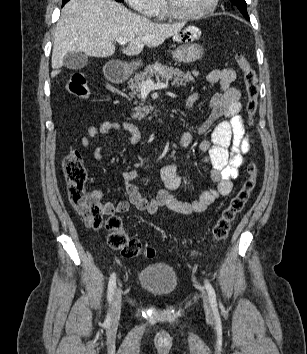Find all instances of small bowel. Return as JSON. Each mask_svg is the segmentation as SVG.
<instances>
[{
	"label": "small bowel",
	"mask_w": 307,
	"mask_h": 354,
	"mask_svg": "<svg viewBox=\"0 0 307 354\" xmlns=\"http://www.w3.org/2000/svg\"><path fill=\"white\" fill-rule=\"evenodd\" d=\"M207 80L211 85L218 86L219 91L211 97L210 112L199 129L200 134H205L213 128L211 137L199 143V150L203 154L204 163L209 167L210 178L215 186L203 191L193 201L179 198L174 191L182 188L183 180L177 173L176 163L172 162L164 166L160 172L166 189L160 190L154 199H145L136 184L138 171L128 170L122 175L128 201L117 204L105 203L108 213H124L128 211L130 205H133L149 214H154L164 206L176 213L191 215L206 211L220 197L230 194L232 180L238 177L239 169L245 163V154L249 151V137L240 115L241 92L233 86L236 72L232 68L214 69L207 75ZM198 99L197 93L188 98L186 107L189 111ZM114 130L126 133L130 143H138L142 139V133L133 123L107 120L88 127L86 134L81 138V145L85 148L90 147L97 136L106 135ZM193 142L192 134L185 132L179 135L181 146L187 147ZM93 155L96 160H100L101 147H95ZM90 193L98 201L103 199L104 193L100 189H94Z\"/></svg>",
	"instance_id": "obj_1"
}]
</instances>
